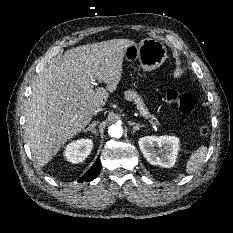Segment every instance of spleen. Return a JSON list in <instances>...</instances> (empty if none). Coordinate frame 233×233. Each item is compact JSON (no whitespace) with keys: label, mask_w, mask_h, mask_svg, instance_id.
Returning <instances> with one entry per match:
<instances>
[{"label":"spleen","mask_w":233,"mask_h":233,"mask_svg":"<svg viewBox=\"0 0 233 233\" xmlns=\"http://www.w3.org/2000/svg\"><path fill=\"white\" fill-rule=\"evenodd\" d=\"M207 152L208 148L206 146H200L197 150H195L186 163V172L190 174L197 171L205 161Z\"/></svg>","instance_id":"1"}]
</instances>
